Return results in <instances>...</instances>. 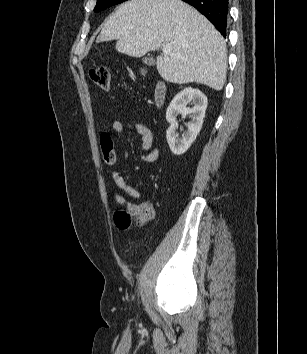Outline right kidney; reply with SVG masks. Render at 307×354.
Masks as SVG:
<instances>
[{"label": "right kidney", "mask_w": 307, "mask_h": 354, "mask_svg": "<svg viewBox=\"0 0 307 354\" xmlns=\"http://www.w3.org/2000/svg\"><path fill=\"white\" fill-rule=\"evenodd\" d=\"M189 103L193 104L192 108L187 107ZM206 109L207 97L199 89L185 88L172 99L166 111V120L170 123L166 138L173 154L182 155L190 148L202 128ZM179 114L191 115V122L182 138L177 133L176 118Z\"/></svg>", "instance_id": "right-kidney-1"}]
</instances>
